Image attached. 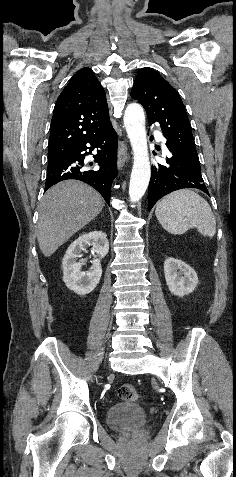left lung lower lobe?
<instances>
[{"label":"left lung lower lobe","instance_id":"1","mask_svg":"<svg viewBox=\"0 0 236 477\" xmlns=\"http://www.w3.org/2000/svg\"><path fill=\"white\" fill-rule=\"evenodd\" d=\"M167 148L170 152L167 165L158 163L151 169L148 190L149 211L160 198L179 189L197 188L209 195L201 175L199 159L169 146Z\"/></svg>","mask_w":236,"mask_h":477}]
</instances>
